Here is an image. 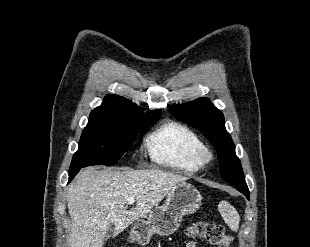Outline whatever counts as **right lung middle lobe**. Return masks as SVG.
Segmentation results:
<instances>
[{
	"mask_svg": "<svg viewBox=\"0 0 310 247\" xmlns=\"http://www.w3.org/2000/svg\"><path fill=\"white\" fill-rule=\"evenodd\" d=\"M159 118L134 121L105 116L89 117L70 170L117 163L133 145L138 133L153 126Z\"/></svg>",
	"mask_w": 310,
	"mask_h": 247,
	"instance_id": "obj_1",
	"label": "right lung middle lobe"
}]
</instances>
